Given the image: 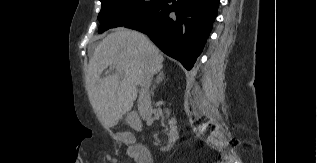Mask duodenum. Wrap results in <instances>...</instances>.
Listing matches in <instances>:
<instances>
[{
	"label": "duodenum",
	"instance_id": "410a0bca",
	"mask_svg": "<svg viewBox=\"0 0 317 163\" xmlns=\"http://www.w3.org/2000/svg\"><path fill=\"white\" fill-rule=\"evenodd\" d=\"M126 120H127L128 125L133 130H136V131L141 130L142 122H141V118L137 112H133V111L128 112L126 114ZM132 148H133L135 154L139 157H144V156H147L149 154V150L144 145L135 144V145H132Z\"/></svg>",
	"mask_w": 317,
	"mask_h": 163
}]
</instances>
